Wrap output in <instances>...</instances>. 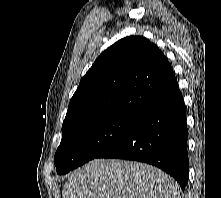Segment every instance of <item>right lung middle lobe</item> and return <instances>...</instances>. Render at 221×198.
Segmentation results:
<instances>
[{
    "label": "right lung middle lobe",
    "instance_id": "obj_1",
    "mask_svg": "<svg viewBox=\"0 0 221 198\" xmlns=\"http://www.w3.org/2000/svg\"><path fill=\"white\" fill-rule=\"evenodd\" d=\"M140 118L127 114L111 115L62 134L54 157L57 174H66L97 158L126 136Z\"/></svg>",
    "mask_w": 221,
    "mask_h": 198
}]
</instances>
